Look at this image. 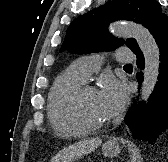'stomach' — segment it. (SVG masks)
Masks as SVG:
<instances>
[{
	"label": "stomach",
	"mask_w": 168,
	"mask_h": 162,
	"mask_svg": "<svg viewBox=\"0 0 168 162\" xmlns=\"http://www.w3.org/2000/svg\"><path fill=\"white\" fill-rule=\"evenodd\" d=\"M120 150V146L114 141H109L102 147L103 154L106 157H115L120 153Z\"/></svg>",
	"instance_id": "0dacf381"
}]
</instances>
